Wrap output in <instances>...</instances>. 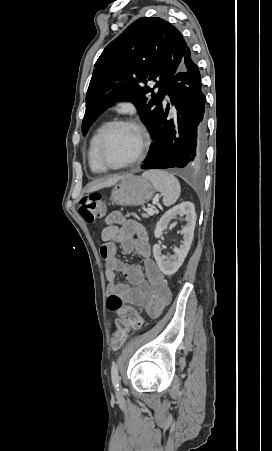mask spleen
Segmentation results:
<instances>
[{
  "label": "spleen",
  "instance_id": "3e777b00",
  "mask_svg": "<svg viewBox=\"0 0 272 451\" xmlns=\"http://www.w3.org/2000/svg\"><path fill=\"white\" fill-rule=\"evenodd\" d=\"M142 178L150 180L153 188L157 192H161L164 206H172V204L177 202L181 194V186L173 174H168V172H163V170H149V172L142 174Z\"/></svg>",
  "mask_w": 272,
  "mask_h": 451
}]
</instances>
